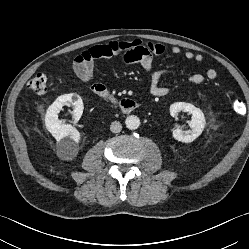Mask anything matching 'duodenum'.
<instances>
[{
  "instance_id": "1",
  "label": "duodenum",
  "mask_w": 249,
  "mask_h": 249,
  "mask_svg": "<svg viewBox=\"0 0 249 249\" xmlns=\"http://www.w3.org/2000/svg\"><path fill=\"white\" fill-rule=\"evenodd\" d=\"M93 93L102 99L108 101L113 106L117 107L121 112L129 114L138 108L141 104L133 99L123 98L118 99L116 96L112 95L107 89L91 88Z\"/></svg>"
}]
</instances>
